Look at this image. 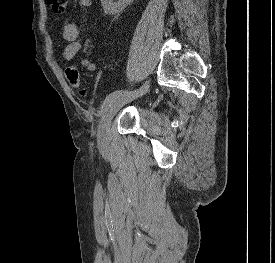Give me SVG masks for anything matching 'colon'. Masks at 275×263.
I'll use <instances>...</instances> for the list:
<instances>
[{"label":"colon","mask_w":275,"mask_h":263,"mask_svg":"<svg viewBox=\"0 0 275 263\" xmlns=\"http://www.w3.org/2000/svg\"><path fill=\"white\" fill-rule=\"evenodd\" d=\"M68 1L69 0H47L55 13H64L67 10ZM64 73L69 84L76 89L79 94L85 95L84 80L78 68L72 64L68 65Z\"/></svg>","instance_id":"1"}]
</instances>
